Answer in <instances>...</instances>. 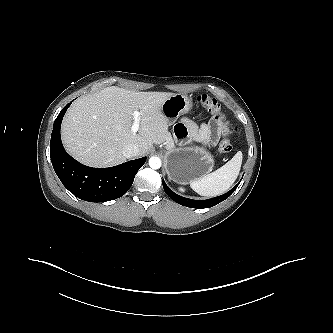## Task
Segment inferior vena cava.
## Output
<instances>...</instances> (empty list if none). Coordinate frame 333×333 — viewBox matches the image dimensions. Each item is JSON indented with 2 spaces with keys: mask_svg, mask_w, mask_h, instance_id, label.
<instances>
[{
  "mask_svg": "<svg viewBox=\"0 0 333 333\" xmlns=\"http://www.w3.org/2000/svg\"><path fill=\"white\" fill-rule=\"evenodd\" d=\"M139 153H140V149L135 144L125 145L122 149V154L126 158H131V157L137 156V155H139Z\"/></svg>",
  "mask_w": 333,
  "mask_h": 333,
  "instance_id": "1",
  "label": "inferior vena cava"
}]
</instances>
